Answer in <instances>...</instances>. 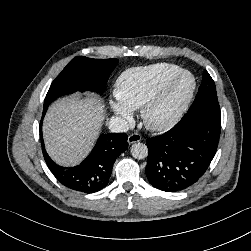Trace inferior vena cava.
<instances>
[{
	"mask_svg": "<svg viewBox=\"0 0 251 251\" xmlns=\"http://www.w3.org/2000/svg\"><path fill=\"white\" fill-rule=\"evenodd\" d=\"M109 129L116 133L126 132L129 130V124L124 118L113 116L109 121Z\"/></svg>",
	"mask_w": 251,
	"mask_h": 251,
	"instance_id": "1",
	"label": "inferior vena cava"
}]
</instances>
